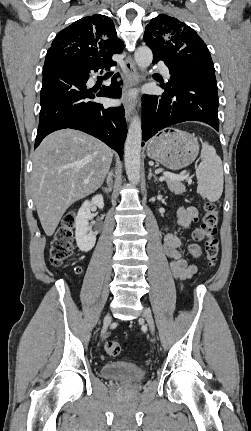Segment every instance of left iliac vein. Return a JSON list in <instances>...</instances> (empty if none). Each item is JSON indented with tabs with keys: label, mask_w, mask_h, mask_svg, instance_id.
<instances>
[{
	"label": "left iliac vein",
	"mask_w": 251,
	"mask_h": 431,
	"mask_svg": "<svg viewBox=\"0 0 251 431\" xmlns=\"http://www.w3.org/2000/svg\"><path fill=\"white\" fill-rule=\"evenodd\" d=\"M142 317L146 320L151 333L154 334L155 326H154V321H153V318H152L150 311L145 308L142 312Z\"/></svg>",
	"instance_id": "4c4485c4"
}]
</instances>
